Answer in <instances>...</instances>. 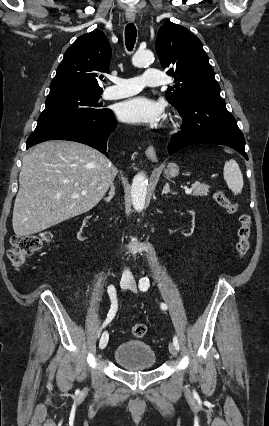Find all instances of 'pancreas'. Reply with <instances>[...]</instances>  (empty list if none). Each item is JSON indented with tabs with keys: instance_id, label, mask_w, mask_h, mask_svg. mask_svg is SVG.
<instances>
[{
	"instance_id": "obj_1",
	"label": "pancreas",
	"mask_w": 269,
	"mask_h": 426,
	"mask_svg": "<svg viewBox=\"0 0 269 426\" xmlns=\"http://www.w3.org/2000/svg\"><path fill=\"white\" fill-rule=\"evenodd\" d=\"M194 196H207L209 192V186L206 184L195 183L192 185Z\"/></svg>"
}]
</instances>
